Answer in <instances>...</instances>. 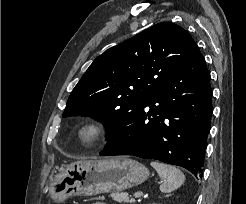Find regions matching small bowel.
<instances>
[{
    "instance_id": "small-bowel-1",
    "label": "small bowel",
    "mask_w": 246,
    "mask_h": 204,
    "mask_svg": "<svg viewBox=\"0 0 246 204\" xmlns=\"http://www.w3.org/2000/svg\"><path fill=\"white\" fill-rule=\"evenodd\" d=\"M93 204H107V203H104V202H96V203H93Z\"/></svg>"
}]
</instances>
